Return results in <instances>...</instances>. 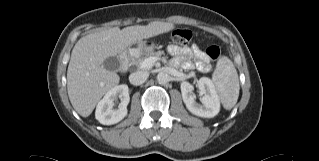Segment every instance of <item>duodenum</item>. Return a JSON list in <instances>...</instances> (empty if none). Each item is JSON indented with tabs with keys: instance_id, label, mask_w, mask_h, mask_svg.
Instances as JSON below:
<instances>
[{
	"instance_id": "obj_1",
	"label": "duodenum",
	"mask_w": 319,
	"mask_h": 161,
	"mask_svg": "<svg viewBox=\"0 0 319 161\" xmlns=\"http://www.w3.org/2000/svg\"><path fill=\"white\" fill-rule=\"evenodd\" d=\"M128 62H129V56L127 53H124L121 57V66L126 67L128 65Z\"/></svg>"
}]
</instances>
